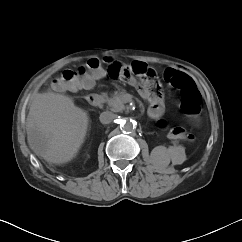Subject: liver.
Segmentation results:
<instances>
[{
    "label": "liver",
    "instance_id": "6515ba94",
    "mask_svg": "<svg viewBox=\"0 0 242 242\" xmlns=\"http://www.w3.org/2000/svg\"><path fill=\"white\" fill-rule=\"evenodd\" d=\"M89 125L88 113L66 95L37 93L26 119L31 150L49 164L70 162L82 147Z\"/></svg>",
    "mask_w": 242,
    "mask_h": 242
}]
</instances>
